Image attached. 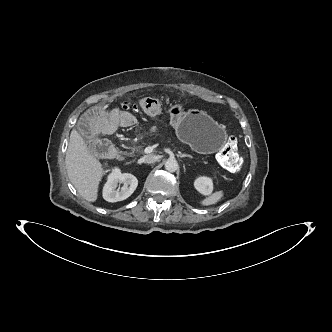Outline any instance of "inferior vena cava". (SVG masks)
Returning <instances> with one entry per match:
<instances>
[{
  "instance_id": "inferior-vena-cava-1",
  "label": "inferior vena cava",
  "mask_w": 332,
  "mask_h": 332,
  "mask_svg": "<svg viewBox=\"0 0 332 332\" xmlns=\"http://www.w3.org/2000/svg\"><path fill=\"white\" fill-rule=\"evenodd\" d=\"M158 159H159L158 156H156V155H152V154L145 155V156L143 157V161H144V163H147V164L154 163V162H156Z\"/></svg>"
}]
</instances>
